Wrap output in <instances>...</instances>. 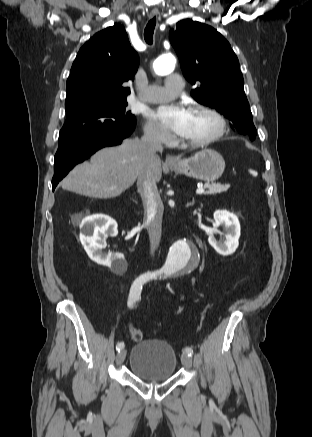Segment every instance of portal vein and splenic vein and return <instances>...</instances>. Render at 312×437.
I'll list each match as a JSON object with an SVG mask.
<instances>
[{"instance_id": "obj_1", "label": "portal vein and splenic vein", "mask_w": 312, "mask_h": 437, "mask_svg": "<svg viewBox=\"0 0 312 437\" xmlns=\"http://www.w3.org/2000/svg\"><path fill=\"white\" fill-rule=\"evenodd\" d=\"M204 191H205L204 188H199V189L196 190V193L197 194H203Z\"/></svg>"}]
</instances>
